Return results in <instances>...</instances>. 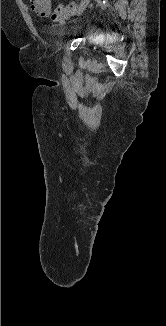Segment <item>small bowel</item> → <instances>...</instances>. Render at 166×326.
<instances>
[{
	"mask_svg": "<svg viewBox=\"0 0 166 326\" xmlns=\"http://www.w3.org/2000/svg\"><path fill=\"white\" fill-rule=\"evenodd\" d=\"M30 6L39 16H48L51 11V0H30Z\"/></svg>",
	"mask_w": 166,
	"mask_h": 326,
	"instance_id": "obj_1",
	"label": "small bowel"
}]
</instances>
